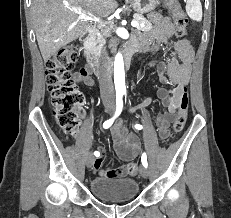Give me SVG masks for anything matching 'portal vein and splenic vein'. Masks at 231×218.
Segmentation results:
<instances>
[{
	"label": "portal vein and splenic vein",
	"mask_w": 231,
	"mask_h": 218,
	"mask_svg": "<svg viewBox=\"0 0 231 218\" xmlns=\"http://www.w3.org/2000/svg\"><path fill=\"white\" fill-rule=\"evenodd\" d=\"M72 11L77 12L79 14V17L82 18V19L89 20V21L99 22V19L96 16H94L91 13H84L80 7H73ZM131 26L137 27L138 26V22L136 20H133L131 22Z\"/></svg>",
	"instance_id": "1"
}]
</instances>
